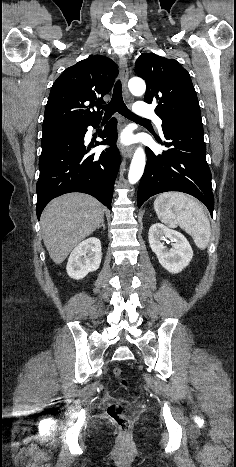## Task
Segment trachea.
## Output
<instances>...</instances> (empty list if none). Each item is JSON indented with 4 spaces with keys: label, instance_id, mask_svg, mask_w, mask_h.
<instances>
[{
    "label": "trachea",
    "instance_id": "obj_1",
    "mask_svg": "<svg viewBox=\"0 0 236 467\" xmlns=\"http://www.w3.org/2000/svg\"><path fill=\"white\" fill-rule=\"evenodd\" d=\"M102 109L105 110V119L110 118L115 112H119L122 116L133 121L150 122L148 119L135 115L126 107L122 97V85L120 80L114 85L111 101L107 105L102 106Z\"/></svg>",
    "mask_w": 236,
    "mask_h": 467
}]
</instances>
